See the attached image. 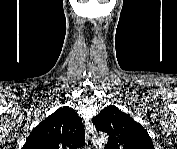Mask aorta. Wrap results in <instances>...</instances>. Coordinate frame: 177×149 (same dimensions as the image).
Wrapping results in <instances>:
<instances>
[{
	"label": "aorta",
	"instance_id": "1",
	"mask_svg": "<svg viewBox=\"0 0 177 149\" xmlns=\"http://www.w3.org/2000/svg\"><path fill=\"white\" fill-rule=\"evenodd\" d=\"M98 143H105L107 141V137L105 136V134H101L97 137L96 140Z\"/></svg>",
	"mask_w": 177,
	"mask_h": 149
}]
</instances>
